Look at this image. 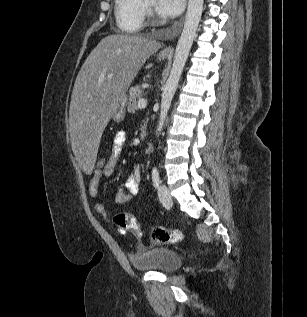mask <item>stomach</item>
Segmentation results:
<instances>
[{
	"instance_id": "1",
	"label": "stomach",
	"mask_w": 307,
	"mask_h": 317,
	"mask_svg": "<svg viewBox=\"0 0 307 317\" xmlns=\"http://www.w3.org/2000/svg\"><path fill=\"white\" fill-rule=\"evenodd\" d=\"M166 55H159V60L166 59ZM125 107H126V96H124L117 104L116 111L112 115V118L116 122H121L125 117Z\"/></svg>"
}]
</instances>
